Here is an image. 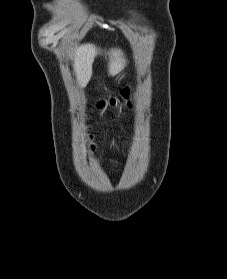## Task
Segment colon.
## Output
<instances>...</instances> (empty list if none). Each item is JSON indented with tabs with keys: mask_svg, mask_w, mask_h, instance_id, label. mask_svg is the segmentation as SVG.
I'll return each mask as SVG.
<instances>
[{
	"mask_svg": "<svg viewBox=\"0 0 227 279\" xmlns=\"http://www.w3.org/2000/svg\"><path fill=\"white\" fill-rule=\"evenodd\" d=\"M103 107V102H98L97 103V108H102ZM89 132H91V129H88Z\"/></svg>",
	"mask_w": 227,
	"mask_h": 279,
	"instance_id": "colon-1",
	"label": "colon"
}]
</instances>
